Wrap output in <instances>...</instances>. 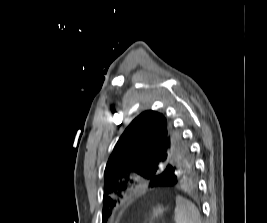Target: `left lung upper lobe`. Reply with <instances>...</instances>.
Returning a JSON list of instances; mask_svg holds the SVG:
<instances>
[{"label":"left lung upper lobe","mask_w":267,"mask_h":223,"mask_svg":"<svg viewBox=\"0 0 267 223\" xmlns=\"http://www.w3.org/2000/svg\"><path fill=\"white\" fill-rule=\"evenodd\" d=\"M164 171H195L191 152L166 114L145 111L125 129L107 162L103 223L117 204L109 194L125 190L134 174L151 182L153 173Z\"/></svg>","instance_id":"obj_1"}]
</instances>
